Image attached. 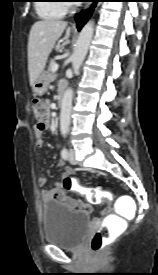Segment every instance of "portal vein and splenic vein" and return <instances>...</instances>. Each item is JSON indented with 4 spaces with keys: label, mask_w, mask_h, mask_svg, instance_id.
<instances>
[{
    "label": "portal vein and splenic vein",
    "mask_w": 158,
    "mask_h": 275,
    "mask_svg": "<svg viewBox=\"0 0 158 275\" xmlns=\"http://www.w3.org/2000/svg\"><path fill=\"white\" fill-rule=\"evenodd\" d=\"M59 68V65L58 64H55L52 68V71L55 72L57 69Z\"/></svg>",
    "instance_id": "1"
}]
</instances>
